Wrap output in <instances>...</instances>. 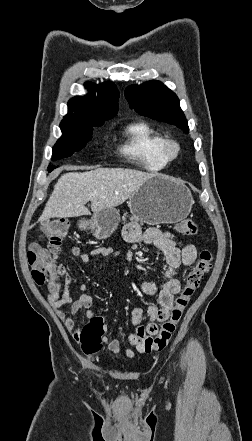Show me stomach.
Instances as JSON below:
<instances>
[{
  "mask_svg": "<svg viewBox=\"0 0 252 441\" xmlns=\"http://www.w3.org/2000/svg\"><path fill=\"white\" fill-rule=\"evenodd\" d=\"M194 201L191 192L178 181L154 175L131 195L128 205L134 217L150 225L177 223L190 213ZM120 214L115 208L101 210L79 227L88 229L97 239L108 238L117 228Z\"/></svg>",
  "mask_w": 252,
  "mask_h": 441,
  "instance_id": "stomach-1",
  "label": "stomach"
}]
</instances>
